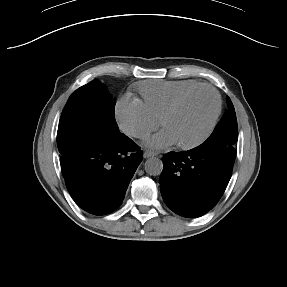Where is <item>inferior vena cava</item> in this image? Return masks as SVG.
Masks as SVG:
<instances>
[{
    "label": "inferior vena cava",
    "instance_id": "602c4592",
    "mask_svg": "<svg viewBox=\"0 0 287 287\" xmlns=\"http://www.w3.org/2000/svg\"><path fill=\"white\" fill-rule=\"evenodd\" d=\"M128 135L133 137H140L141 135H144V132L138 128H130L128 130Z\"/></svg>",
    "mask_w": 287,
    "mask_h": 287
}]
</instances>
